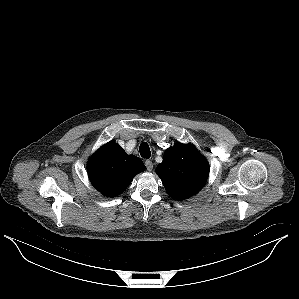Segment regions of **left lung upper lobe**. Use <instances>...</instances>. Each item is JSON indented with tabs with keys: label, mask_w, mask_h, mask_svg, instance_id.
I'll use <instances>...</instances> for the list:
<instances>
[{
	"label": "left lung upper lobe",
	"mask_w": 299,
	"mask_h": 299,
	"mask_svg": "<svg viewBox=\"0 0 299 299\" xmlns=\"http://www.w3.org/2000/svg\"><path fill=\"white\" fill-rule=\"evenodd\" d=\"M156 173L169 196L183 200L195 195L205 185L209 164L193 145L179 143L165 151Z\"/></svg>",
	"instance_id": "1"
}]
</instances>
